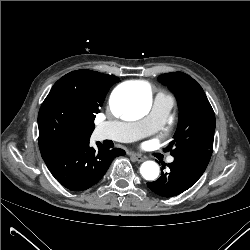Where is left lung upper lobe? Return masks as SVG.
<instances>
[{
  "instance_id": "1",
  "label": "left lung upper lobe",
  "mask_w": 250,
  "mask_h": 250,
  "mask_svg": "<svg viewBox=\"0 0 250 250\" xmlns=\"http://www.w3.org/2000/svg\"><path fill=\"white\" fill-rule=\"evenodd\" d=\"M158 80L174 93L179 107L178 127L166 151L174 157L188 151L212 150L215 115L201 86L182 72L162 74Z\"/></svg>"
}]
</instances>
